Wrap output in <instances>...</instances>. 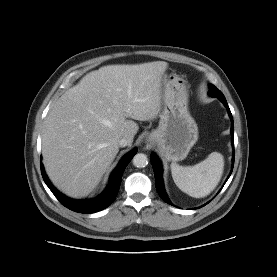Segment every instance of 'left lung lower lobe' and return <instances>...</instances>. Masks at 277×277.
Here are the masks:
<instances>
[{
    "label": "left lung lower lobe",
    "mask_w": 277,
    "mask_h": 277,
    "mask_svg": "<svg viewBox=\"0 0 277 277\" xmlns=\"http://www.w3.org/2000/svg\"><path fill=\"white\" fill-rule=\"evenodd\" d=\"M222 103L227 108L229 116H230V119H231L232 144L234 146V141H233V134H234L233 117H232L231 111L229 109V106L227 104V101L224 100V101H222ZM150 160H151V163H152V166H153V170H154V174H155V181H156V189H157V192H158L159 196L166 203L173 205L170 202V200L168 199V196H167V194L165 192V189H164L163 178H162V165H161V162H160L159 158L155 154H151ZM232 161H233V164H232V168H233V165H234V154H233V160ZM231 173H232V171H231ZM231 173H230V175H231ZM230 175L228 176V178L230 177ZM228 178H227V180H228Z\"/></svg>",
    "instance_id": "left-lung-lower-lobe-1"
}]
</instances>
